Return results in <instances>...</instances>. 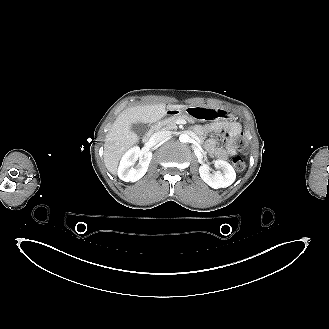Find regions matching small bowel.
<instances>
[{"label": "small bowel", "mask_w": 329, "mask_h": 329, "mask_svg": "<svg viewBox=\"0 0 329 329\" xmlns=\"http://www.w3.org/2000/svg\"><path fill=\"white\" fill-rule=\"evenodd\" d=\"M203 129L207 133H212L216 129V124L212 120H207L203 124ZM241 133V127L237 123H231L226 129L219 130L217 135L223 138V146H219L215 139L209 140L207 146L213 155L224 160L228 157H236L237 150L234 146V138Z\"/></svg>", "instance_id": "1"}]
</instances>
